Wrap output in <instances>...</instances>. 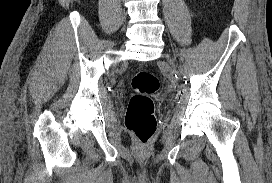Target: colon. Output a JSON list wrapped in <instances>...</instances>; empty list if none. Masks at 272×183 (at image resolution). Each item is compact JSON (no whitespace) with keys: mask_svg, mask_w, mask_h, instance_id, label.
Returning <instances> with one entry per match:
<instances>
[{"mask_svg":"<svg viewBox=\"0 0 272 183\" xmlns=\"http://www.w3.org/2000/svg\"><path fill=\"white\" fill-rule=\"evenodd\" d=\"M135 94L130 98L125 126L137 143L145 146L156 131L155 107L152 96L160 87L159 79L149 71H139L132 78Z\"/></svg>","mask_w":272,"mask_h":183,"instance_id":"colon-1","label":"colon"}]
</instances>
